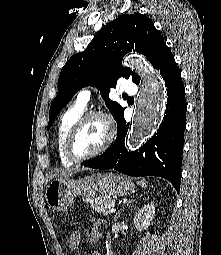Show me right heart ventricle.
Instances as JSON below:
<instances>
[{
    "instance_id": "e07e8e85",
    "label": "right heart ventricle",
    "mask_w": 221,
    "mask_h": 255,
    "mask_svg": "<svg viewBox=\"0 0 221 255\" xmlns=\"http://www.w3.org/2000/svg\"><path fill=\"white\" fill-rule=\"evenodd\" d=\"M85 107L78 106L77 104L67 109L59 119L56 128V148L59 160L63 166H72L74 163L70 161L65 154V141L67 134L74 123L84 113Z\"/></svg>"
}]
</instances>
